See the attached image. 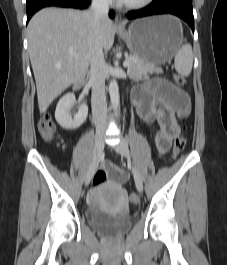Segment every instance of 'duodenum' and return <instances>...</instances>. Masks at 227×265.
Returning <instances> with one entry per match:
<instances>
[{
  "label": "duodenum",
  "instance_id": "1",
  "mask_svg": "<svg viewBox=\"0 0 227 265\" xmlns=\"http://www.w3.org/2000/svg\"><path fill=\"white\" fill-rule=\"evenodd\" d=\"M83 86V80L82 79H78L75 83H74V90L78 91L82 88Z\"/></svg>",
  "mask_w": 227,
  "mask_h": 265
}]
</instances>
